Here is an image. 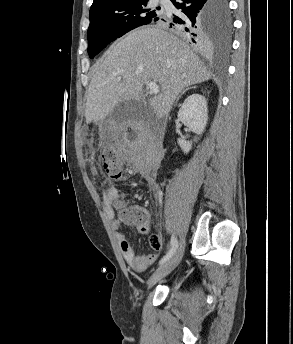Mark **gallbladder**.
Returning <instances> with one entry per match:
<instances>
[{
	"instance_id": "bac80fb5",
	"label": "gallbladder",
	"mask_w": 293,
	"mask_h": 344,
	"mask_svg": "<svg viewBox=\"0 0 293 344\" xmlns=\"http://www.w3.org/2000/svg\"><path fill=\"white\" fill-rule=\"evenodd\" d=\"M145 104L139 100H128L117 104L110 114V121L114 124H122L129 120L141 118Z\"/></svg>"
}]
</instances>
